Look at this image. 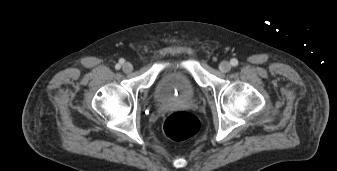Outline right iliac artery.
Segmentation results:
<instances>
[{"label":"right iliac artery","instance_id":"obj_1","mask_svg":"<svg viewBox=\"0 0 337 171\" xmlns=\"http://www.w3.org/2000/svg\"><path fill=\"white\" fill-rule=\"evenodd\" d=\"M119 62H120V64H122V63H124V60L121 59ZM120 64H116L115 68L120 69V67H121Z\"/></svg>","mask_w":337,"mask_h":171}]
</instances>
